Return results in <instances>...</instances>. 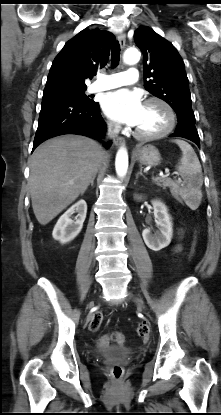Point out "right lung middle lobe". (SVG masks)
<instances>
[{"label": "right lung middle lobe", "instance_id": "1", "mask_svg": "<svg viewBox=\"0 0 221 415\" xmlns=\"http://www.w3.org/2000/svg\"><path fill=\"white\" fill-rule=\"evenodd\" d=\"M85 91H86V88L58 91V92H53L50 94L43 95V99L64 98V99H70V100L84 102V103H93L94 101L88 96H86Z\"/></svg>", "mask_w": 221, "mask_h": 415}]
</instances>
